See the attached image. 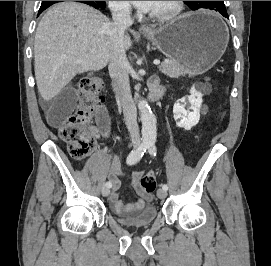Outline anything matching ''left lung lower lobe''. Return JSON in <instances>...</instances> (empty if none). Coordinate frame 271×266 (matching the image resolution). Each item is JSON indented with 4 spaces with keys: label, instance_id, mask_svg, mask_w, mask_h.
Segmentation results:
<instances>
[{
    "label": "left lung lower lobe",
    "instance_id": "1",
    "mask_svg": "<svg viewBox=\"0 0 271 266\" xmlns=\"http://www.w3.org/2000/svg\"><path fill=\"white\" fill-rule=\"evenodd\" d=\"M222 16H224L225 18H227L228 19V14H227V12L226 11H221V12H219Z\"/></svg>",
    "mask_w": 271,
    "mask_h": 266
}]
</instances>
